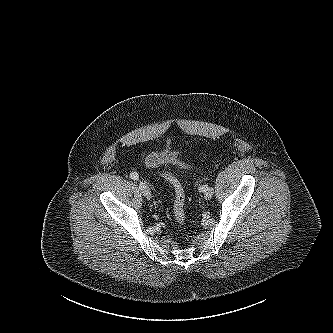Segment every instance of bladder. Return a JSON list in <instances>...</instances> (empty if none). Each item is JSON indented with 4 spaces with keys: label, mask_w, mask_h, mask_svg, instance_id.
<instances>
[{
    "label": "bladder",
    "mask_w": 333,
    "mask_h": 333,
    "mask_svg": "<svg viewBox=\"0 0 333 333\" xmlns=\"http://www.w3.org/2000/svg\"><path fill=\"white\" fill-rule=\"evenodd\" d=\"M145 166L148 169L155 170L163 166H173L177 169H186L187 164L172 150L163 149L149 153L145 157Z\"/></svg>",
    "instance_id": "31cf9c89"
}]
</instances>
